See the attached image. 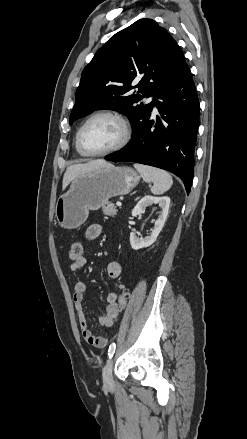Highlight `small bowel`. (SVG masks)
Segmentation results:
<instances>
[{
	"instance_id": "obj_1",
	"label": "small bowel",
	"mask_w": 247,
	"mask_h": 439,
	"mask_svg": "<svg viewBox=\"0 0 247 439\" xmlns=\"http://www.w3.org/2000/svg\"><path fill=\"white\" fill-rule=\"evenodd\" d=\"M103 232V226L99 223L91 224L85 232V237L88 240H95L101 236ZM87 255H82L76 259L70 266L72 272H77L83 268L87 262ZM107 275L111 279H116L120 276L121 266L118 262L112 261L107 265ZM86 291V285L83 282H78L74 287L73 292V304L78 312L79 324L83 339L89 344L97 348H104L108 344L107 336H96L88 328L86 316L83 311V298ZM107 307L106 313L99 317V324L104 327H111L117 316V301L118 296L114 292H110L106 296Z\"/></svg>"
}]
</instances>
